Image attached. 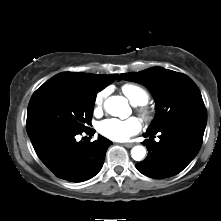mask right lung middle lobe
<instances>
[{
    "label": "right lung middle lobe",
    "mask_w": 221,
    "mask_h": 221,
    "mask_svg": "<svg viewBox=\"0 0 221 221\" xmlns=\"http://www.w3.org/2000/svg\"><path fill=\"white\" fill-rule=\"evenodd\" d=\"M97 92L69 80L51 78L30 99L27 131L38 127L88 131Z\"/></svg>",
    "instance_id": "dd1d6c3e"
}]
</instances>
